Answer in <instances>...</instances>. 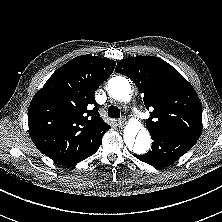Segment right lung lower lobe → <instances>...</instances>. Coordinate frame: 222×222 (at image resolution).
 <instances>
[{"label":"right lung lower lobe","instance_id":"right-lung-lower-lobe-1","mask_svg":"<svg viewBox=\"0 0 222 222\" xmlns=\"http://www.w3.org/2000/svg\"><path fill=\"white\" fill-rule=\"evenodd\" d=\"M101 143H102V142H101ZM101 143L94 149L93 152H91L88 156H86V157L83 158L82 160H84V159H86L87 157H89V156L93 155L94 153H96L97 150H98V148H99V146L101 145ZM82 160H80V161H82ZM80 161H78V162H80ZM78 162H76V163H78ZM76 163H74V164H76ZM74 164H71V165H68V166H72V165H74Z\"/></svg>","mask_w":222,"mask_h":222}]
</instances>
